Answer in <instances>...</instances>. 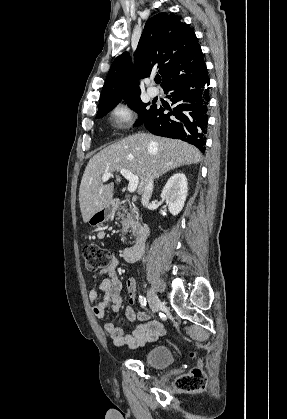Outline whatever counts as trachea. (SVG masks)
Returning <instances> with one entry per match:
<instances>
[{"instance_id": "obj_1", "label": "trachea", "mask_w": 287, "mask_h": 419, "mask_svg": "<svg viewBox=\"0 0 287 419\" xmlns=\"http://www.w3.org/2000/svg\"><path fill=\"white\" fill-rule=\"evenodd\" d=\"M154 80H155V83H157V84H158V83H160V82H161V77H156Z\"/></svg>"}]
</instances>
